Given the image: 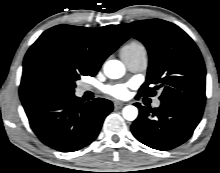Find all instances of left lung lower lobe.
I'll use <instances>...</instances> for the list:
<instances>
[{"label":"left lung lower lobe","mask_w":220,"mask_h":173,"mask_svg":"<svg viewBox=\"0 0 220 173\" xmlns=\"http://www.w3.org/2000/svg\"><path fill=\"white\" fill-rule=\"evenodd\" d=\"M135 105L139 108V116L131 126L133 135L141 143L162 151L173 149L188 140L204 109L174 100H163L158 108H146L139 103Z\"/></svg>","instance_id":"obj_1"}]
</instances>
